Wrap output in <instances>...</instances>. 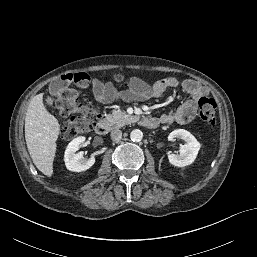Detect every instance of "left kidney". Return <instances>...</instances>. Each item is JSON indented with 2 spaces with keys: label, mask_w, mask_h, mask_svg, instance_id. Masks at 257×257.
Listing matches in <instances>:
<instances>
[{
  "label": "left kidney",
  "mask_w": 257,
  "mask_h": 257,
  "mask_svg": "<svg viewBox=\"0 0 257 257\" xmlns=\"http://www.w3.org/2000/svg\"><path fill=\"white\" fill-rule=\"evenodd\" d=\"M175 138L184 140L185 144L180 147L179 155L168 153L170 164L176 167H185L192 164L197 157L201 144L190 132L184 129H176L168 136L169 141H174Z\"/></svg>",
  "instance_id": "1"
}]
</instances>
